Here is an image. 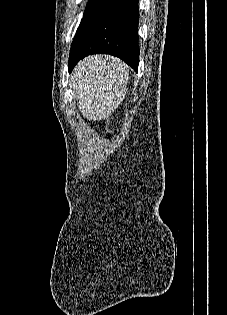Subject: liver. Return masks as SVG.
<instances>
[{
    "label": "liver",
    "mask_w": 227,
    "mask_h": 315,
    "mask_svg": "<svg viewBox=\"0 0 227 315\" xmlns=\"http://www.w3.org/2000/svg\"><path fill=\"white\" fill-rule=\"evenodd\" d=\"M93 58H100L101 59L102 57L101 56H96V57H93Z\"/></svg>",
    "instance_id": "1"
}]
</instances>
